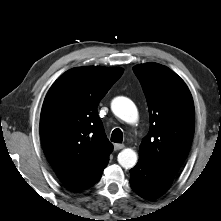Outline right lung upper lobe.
I'll use <instances>...</instances> for the list:
<instances>
[{
    "mask_svg": "<svg viewBox=\"0 0 221 221\" xmlns=\"http://www.w3.org/2000/svg\"><path fill=\"white\" fill-rule=\"evenodd\" d=\"M122 74L121 68H73L55 81L45 97L40 117L43 151L71 190L93 186L108 164L113 146L97 107Z\"/></svg>",
    "mask_w": 221,
    "mask_h": 221,
    "instance_id": "right-lung-upper-lobe-1",
    "label": "right lung upper lobe"
}]
</instances>
